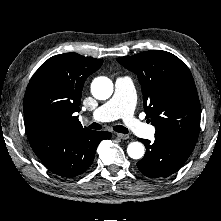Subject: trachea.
Wrapping results in <instances>:
<instances>
[{
	"instance_id": "obj_1",
	"label": "trachea",
	"mask_w": 221,
	"mask_h": 221,
	"mask_svg": "<svg viewBox=\"0 0 221 221\" xmlns=\"http://www.w3.org/2000/svg\"><path fill=\"white\" fill-rule=\"evenodd\" d=\"M89 128L91 129H94V130H100L102 128V126L99 124V123H95L93 122ZM113 129L116 131V132H119V133H128V129L125 128L124 126H121V125H116L113 127Z\"/></svg>"
}]
</instances>
